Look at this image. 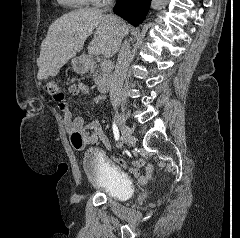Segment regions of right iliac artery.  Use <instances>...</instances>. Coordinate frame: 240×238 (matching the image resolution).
Returning <instances> with one entry per match:
<instances>
[{"label": "right iliac artery", "mask_w": 240, "mask_h": 238, "mask_svg": "<svg viewBox=\"0 0 240 238\" xmlns=\"http://www.w3.org/2000/svg\"><path fill=\"white\" fill-rule=\"evenodd\" d=\"M122 144H123V141H122V140H119V141H118V147H121Z\"/></svg>", "instance_id": "1"}]
</instances>
